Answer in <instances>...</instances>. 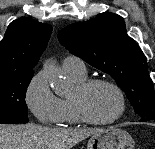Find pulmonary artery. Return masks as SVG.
Wrapping results in <instances>:
<instances>
[{"label":"pulmonary artery","instance_id":"1","mask_svg":"<svg viewBox=\"0 0 155 149\" xmlns=\"http://www.w3.org/2000/svg\"><path fill=\"white\" fill-rule=\"evenodd\" d=\"M62 69L65 73L77 75L86 74V67L82 59L77 56H67L62 62Z\"/></svg>","mask_w":155,"mask_h":149}]
</instances>
